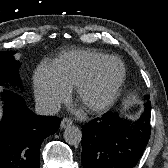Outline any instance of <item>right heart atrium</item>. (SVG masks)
<instances>
[{"label": "right heart atrium", "mask_w": 168, "mask_h": 168, "mask_svg": "<svg viewBox=\"0 0 168 168\" xmlns=\"http://www.w3.org/2000/svg\"><path fill=\"white\" fill-rule=\"evenodd\" d=\"M70 93L57 77L53 68L41 64L34 73V96L38 106L46 112L56 110Z\"/></svg>", "instance_id": "obj_1"}]
</instances>
